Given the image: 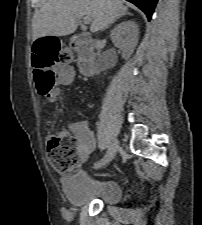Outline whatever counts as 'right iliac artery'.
I'll use <instances>...</instances> for the list:
<instances>
[{
	"label": "right iliac artery",
	"instance_id": "right-iliac-artery-1",
	"mask_svg": "<svg viewBox=\"0 0 202 225\" xmlns=\"http://www.w3.org/2000/svg\"><path fill=\"white\" fill-rule=\"evenodd\" d=\"M106 164V157H103L100 161L94 164V168H99Z\"/></svg>",
	"mask_w": 202,
	"mask_h": 225
}]
</instances>
